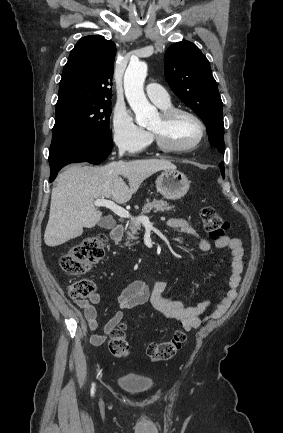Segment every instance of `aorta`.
Wrapping results in <instances>:
<instances>
[{"label":"aorta","instance_id":"1","mask_svg":"<svg viewBox=\"0 0 283 433\" xmlns=\"http://www.w3.org/2000/svg\"><path fill=\"white\" fill-rule=\"evenodd\" d=\"M146 76L147 64L142 61L131 62L124 75L125 96L136 115V122L140 126L148 125L158 114L144 93Z\"/></svg>","mask_w":283,"mask_h":433}]
</instances>
